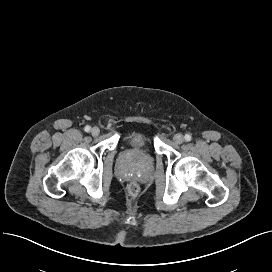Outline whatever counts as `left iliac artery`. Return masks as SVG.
Returning <instances> with one entry per match:
<instances>
[{
	"label": "left iliac artery",
	"instance_id": "left-iliac-artery-1",
	"mask_svg": "<svg viewBox=\"0 0 272 272\" xmlns=\"http://www.w3.org/2000/svg\"><path fill=\"white\" fill-rule=\"evenodd\" d=\"M184 138H185L186 141H190V140L192 139V137H191L190 134H186V135L184 136Z\"/></svg>",
	"mask_w": 272,
	"mask_h": 272
}]
</instances>
